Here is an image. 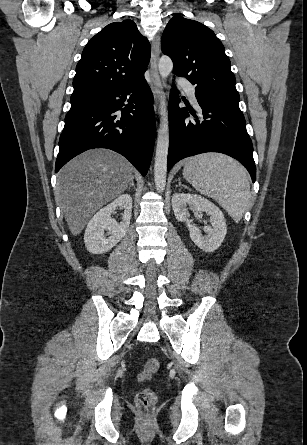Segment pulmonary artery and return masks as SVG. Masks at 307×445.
Segmentation results:
<instances>
[{"mask_svg":"<svg viewBox=\"0 0 307 445\" xmlns=\"http://www.w3.org/2000/svg\"><path fill=\"white\" fill-rule=\"evenodd\" d=\"M179 89L180 90H191L192 89V82L191 81H180L179 82ZM189 96L196 103L194 90H192L190 92Z\"/></svg>","mask_w":307,"mask_h":445,"instance_id":"1","label":"pulmonary artery"}]
</instances>
